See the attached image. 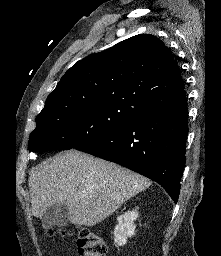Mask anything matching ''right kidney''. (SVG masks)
I'll list each match as a JSON object with an SVG mask.
<instances>
[{"instance_id":"right-kidney-1","label":"right kidney","mask_w":221,"mask_h":256,"mask_svg":"<svg viewBox=\"0 0 221 256\" xmlns=\"http://www.w3.org/2000/svg\"><path fill=\"white\" fill-rule=\"evenodd\" d=\"M138 218L137 210L127 211L117 218L118 224L114 229V242L118 246H124L128 237L135 235L136 225L134 221Z\"/></svg>"}]
</instances>
